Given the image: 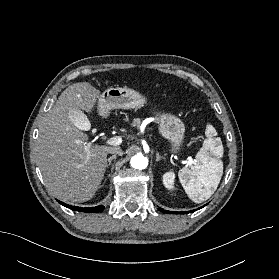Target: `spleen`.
Here are the masks:
<instances>
[{"instance_id": "obj_1", "label": "spleen", "mask_w": 279, "mask_h": 279, "mask_svg": "<svg viewBox=\"0 0 279 279\" xmlns=\"http://www.w3.org/2000/svg\"><path fill=\"white\" fill-rule=\"evenodd\" d=\"M206 139L196 155V159L189 167L182 168L179 173L180 182L195 203L209 199L216 191L223 175V162L219 159L223 155V145L212 125H207Z\"/></svg>"}]
</instances>
